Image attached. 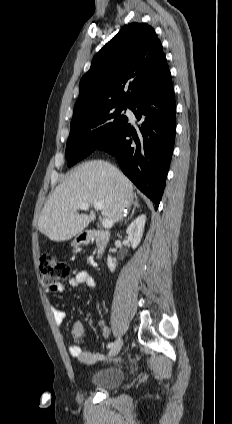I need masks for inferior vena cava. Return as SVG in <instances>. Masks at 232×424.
Segmentation results:
<instances>
[{"instance_id": "inferior-vena-cava-1", "label": "inferior vena cava", "mask_w": 232, "mask_h": 424, "mask_svg": "<svg viewBox=\"0 0 232 424\" xmlns=\"http://www.w3.org/2000/svg\"><path fill=\"white\" fill-rule=\"evenodd\" d=\"M129 208H130V207H129ZM129 208L125 210V212H124V214H123V216H122V218H121V219H123V217H125V216H126V214L128 213ZM121 219H120V220H121Z\"/></svg>"}]
</instances>
